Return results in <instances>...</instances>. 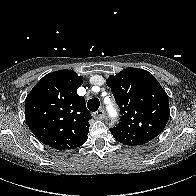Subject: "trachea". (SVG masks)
<instances>
[{
  "mask_svg": "<svg viewBox=\"0 0 196 196\" xmlns=\"http://www.w3.org/2000/svg\"><path fill=\"white\" fill-rule=\"evenodd\" d=\"M99 106H100V101L97 98H92L87 103L88 109L92 112H96Z\"/></svg>",
  "mask_w": 196,
  "mask_h": 196,
  "instance_id": "3493384b",
  "label": "trachea"
}]
</instances>
